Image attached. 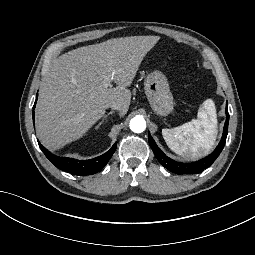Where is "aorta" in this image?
I'll return each mask as SVG.
<instances>
[{
	"label": "aorta",
	"instance_id": "aorta-1",
	"mask_svg": "<svg viewBox=\"0 0 255 255\" xmlns=\"http://www.w3.org/2000/svg\"><path fill=\"white\" fill-rule=\"evenodd\" d=\"M130 129L135 133H141L146 129V121L143 117L137 116L131 119Z\"/></svg>",
	"mask_w": 255,
	"mask_h": 255
}]
</instances>
